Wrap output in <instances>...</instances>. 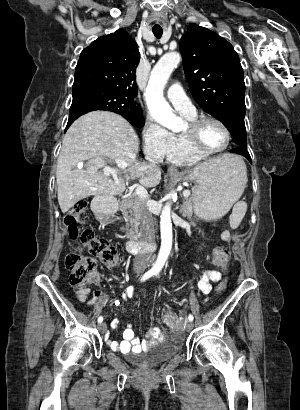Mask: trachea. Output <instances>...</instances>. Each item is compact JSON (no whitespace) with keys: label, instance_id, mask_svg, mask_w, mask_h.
I'll use <instances>...</instances> for the list:
<instances>
[{"label":"trachea","instance_id":"obj_1","mask_svg":"<svg viewBox=\"0 0 300 410\" xmlns=\"http://www.w3.org/2000/svg\"><path fill=\"white\" fill-rule=\"evenodd\" d=\"M153 34L156 38H161L162 34H163V30L161 28L159 29H152Z\"/></svg>","mask_w":300,"mask_h":410}]
</instances>
